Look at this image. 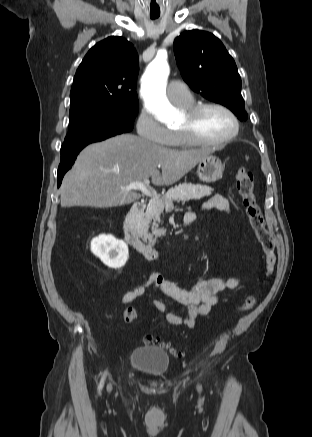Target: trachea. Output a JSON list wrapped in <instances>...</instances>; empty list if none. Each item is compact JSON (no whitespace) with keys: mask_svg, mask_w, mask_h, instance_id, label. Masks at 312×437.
I'll return each instance as SVG.
<instances>
[{"mask_svg":"<svg viewBox=\"0 0 312 437\" xmlns=\"http://www.w3.org/2000/svg\"><path fill=\"white\" fill-rule=\"evenodd\" d=\"M159 17V15H150V18L152 19V20H155V19H157Z\"/></svg>","mask_w":312,"mask_h":437,"instance_id":"1","label":"trachea"}]
</instances>
